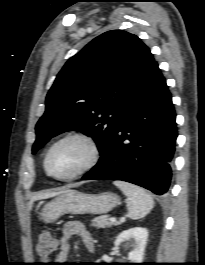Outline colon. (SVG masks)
Wrapping results in <instances>:
<instances>
[{"instance_id": "1", "label": "colon", "mask_w": 205, "mask_h": 265, "mask_svg": "<svg viewBox=\"0 0 205 265\" xmlns=\"http://www.w3.org/2000/svg\"><path fill=\"white\" fill-rule=\"evenodd\" d=\"M59 244L57 239L49 230H42L36 240V250L38 255L46 260L48 259L58 248Z\"/></svg>"}]
</instances>
